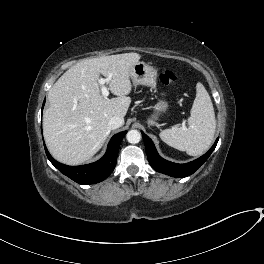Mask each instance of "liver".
<instances>
[{"label": "liver", "instance_id": "6515ba94", "mask_svg": "<svg viewBox=\"0 0 264 264\" xmlns=\"http://www.w3.org/2000/svg\"><path fill=\"white\" fill-rule=\"evenodd\" d=\"M140 58L131 52L84 59L55 82L43 114V134L57 161L79 165L101 149L111 132L109 119L124 120L131 103L130 69ZM100 74L109 78L108 89L117 97L100 94Z\"/></svg>", "mask_w": 264, "mask_h": 264}]
</instances>
